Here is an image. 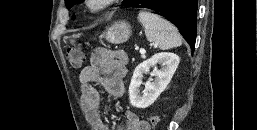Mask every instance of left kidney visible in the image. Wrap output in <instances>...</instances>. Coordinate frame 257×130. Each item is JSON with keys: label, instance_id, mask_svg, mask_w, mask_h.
Instances as JSON below:
<instances>
[{"label": "left kidney", "instance_id": "1", "mask_svg": "<svg viewBox=\"0 0 257 130\" xmlns=\"http://www.w3.org/2000/svg\"><path fill=\"white\" fill-rule=\"evenodd\" d=\"M179 57L170 52H161L155 54L150 59L140 63L134 70L131 83L129 86V99L132 106L136 108H147L158 98V96L166 89L170 83L179 64ZM157 64L161 65V69L157 68L151 72L150 79L145 83V90L140 96V86L142 84L143 74L149 72L151 67Z\"/></svg>", "mask_w": 257, "mask_h": 130}]
</instances>
